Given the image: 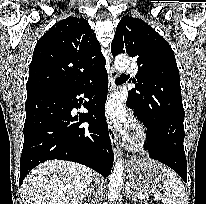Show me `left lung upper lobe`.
<instances>
[{
	"mask_svg": "<svg viewBox=\"0 0 206 204\" xmlns=\"http://www.w3.org/2000/svg\"><path fill=\"white\" fill-rule=\"evenodd\" d=\"M112 55L127 52L137 59L136 113L157 126L159 114L174 103L182 104L179 70L174 52L166 40L143 20L126 15L119 22L111 44ZM139 91V93L136 92Z\"/></svg>",
	"mask_w": 206,
	"mask_h": 204,
	"instance_id": "1",
	"label": "left lung upper lobe"
}]
</instances>
